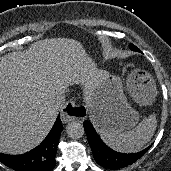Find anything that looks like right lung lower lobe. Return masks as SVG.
I'll return each mask as SVG.
<instances>
[{
  "instance_id": "1",
  "label": "right lung lower lobe",
  "mask_w": 171,
  "mask_h": 171,
  "mask_svg": "<svg viewBox=\"0 0 171 171\" xmlns=\"http://www.w3.org/2000/svg\"><path fill=\"white\" fill-rule=\"evenodd\" d=\"M63 126L58 119L45 140L23 155L0 153V161L16 171H50L55 166V155Z\"/></svg>"
}]
</instances>
